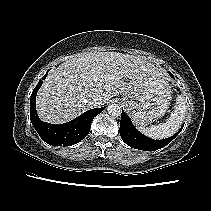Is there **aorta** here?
Here are the masks:
<instances>
[{"label":"aorta","instance_id":"aorta-1","mask_svg":"<svg viewBox=\"0 0 211 211\" xmlns=\"http://www.w3.org/2000/svg\"><path fill=\"white\" fill-rule=\"evenodd\" d=\"M108 114L113 117H118L121 115L122 109L118 104H110L107 107Z\"/></svg>","mask_w":211,"mask_h":211}]
</instances>
